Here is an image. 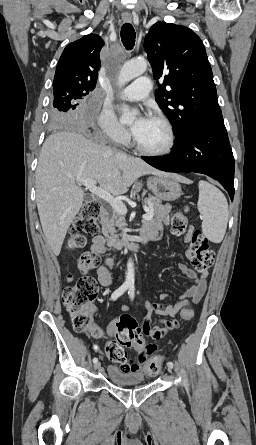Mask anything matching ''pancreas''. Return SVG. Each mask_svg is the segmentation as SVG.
<instances>
[{"instance_id": "cf45deb5", "label": "pancreas", "mask_w": 256, "mask_h": 445, "mask_svg": "<svg viewBox=\"0 0 256 445\" xmlns=\"http://www.w3.org/2000/svg\"><path fill=\"white\" fill-rule=\"evenodd\" d=\"M146 204L148 208L154 212L155 219H152V221H162L167 217L168 211L165 210L160 199L151 197L146 200ZM101 225L102 233L109 242H120L119 236H121V234H118L117 228L121 229L126 227L125 216L112 208L110 212L101 218Z\"/></svg>"}]
</instances>
